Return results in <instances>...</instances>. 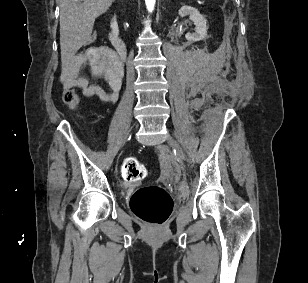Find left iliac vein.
Wrapping results in <instances>:
<instances>
[{"mask_svg":"<svg viewBox=\"0 0 308 283\" xmlns=\"http://www.w3.org/2000/svg\"><path fill=\"white\" fill-rule=\"evenodd\" d=\"M167 142L170 145V147L175 150V155H176L177 160L179 162L184 161L185 160V154H184L181 146L179 145V143L171 135H168Z\"/></svg>","mask_w":308,"mask_h":283,"instance_id":"left-iliac-vein-1","label":"left iliac vein"}]
</instances>
